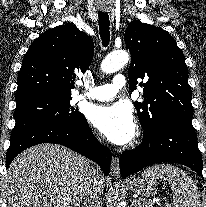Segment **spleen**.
Segmentation results:
<instances>
[{
    "label": "spleen",
    "mask_w": 206,
    "mask_h": 207,
    "mask_svg": "<svg viewBox=\"0 0 206 207\" xmlns=\"http://www.w3.org/2000/svg\"><path fill=\"white\" fill-rule=\"evenodd\" d=\"M142 175L167 180L176 207H201L200 194L195 182L178 167L159 164L147 168Z\"/></svg>",
    "instance_id": "obj_1"
}]
</instances>
